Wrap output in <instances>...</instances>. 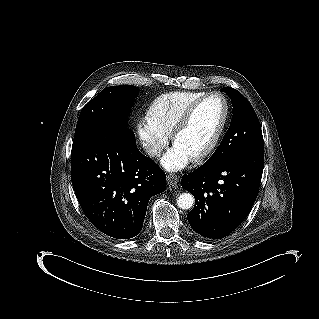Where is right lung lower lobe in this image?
<instances>
[{"mask_svg": "<svg viewBox=\"0 0 319 319\" xmlns=\"http://www.w3.org/2000/svg\"><path fill=\"white\" fill-rule=\"evenodd\" d=\"M71 180L90 222L116 239L136 236L149 199L166 189L165 173L138 150L134 133L124 130L74 139Z\"/></svg>", "mask_w": 319, "mask_h": 319, "instance_id": "obj_1", "label": "right lung lower lobe"}]
</instances>
